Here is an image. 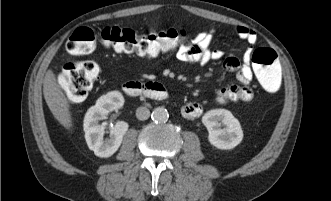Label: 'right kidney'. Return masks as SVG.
Masks as SVG:
<instances>
[{
  "label": "right kidney",
  "mask_w": 331,
  "mask_h": 201,
  "mask_svg": "<svg viewBox=\"0 0 331 201\" xmlns=\"http://www.w3.org/2000/svg\"><path fill=\"white\" fill-rule=\"evenodd\" d=\"M124 98L119 91H111L101 96L96 104L88 109L84 117V132L87 145L94 154L101 158L112 156L120 147L123 136L128 130V123L118 121L110 128L108 138L104 139L105 126L98 124L99 120L110 112L120 109Z\"/></svg>",
  "instance_id": "right-kidney-1"
}]
</instances>
